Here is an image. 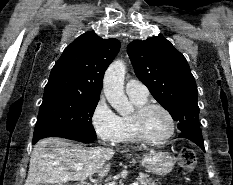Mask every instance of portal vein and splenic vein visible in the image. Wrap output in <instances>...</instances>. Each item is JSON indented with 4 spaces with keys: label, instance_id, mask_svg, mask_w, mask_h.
<instances>
[{
    "label": "portal vein and splenic vein",
    "instance_id": "1",
    "mask_svg": "<svg viewBox=\"0 0 233 185\" xmlns=\"http://www.w3.org/2000/svg\"><path fill=\"white\" fill-rule=\"evenodd\" d=\"M82 168H83V166L80 165V164H76V165L72 166V169H75V170H81ZM106 185H116V183L115 182H110V183H108ZM130 185H139V182H134V183H132Z\"/></svg>",
    "mask_w": 233,
    "mask_h": 185
}]
</instances>
